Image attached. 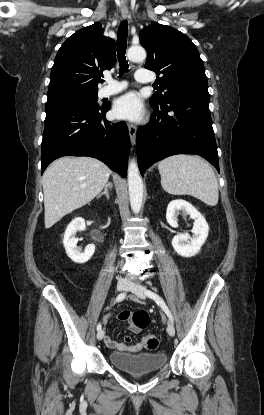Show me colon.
Returning a JSON list of instances; mask_svg holds the SVG:
<instances>
[{
  "mask_svg": "<svg viewBox=\"0 0 264 415\" xmlns=\"http://www.w3.org/2000/svg\"><path fill=\"white\" fill-rule=\"evenodd\" d=\"M132 323L138 328H145L149 324L148 316L143 312H134L131 316ZM142 345L143 349L147 352L155 351L159 346V341L151 333L142 334Z\"/></svg>",
  "mask_w": 264,
  "mask_h": 415,
  "instance_id": "1",
  "label": "colon"
}]
</instances>
